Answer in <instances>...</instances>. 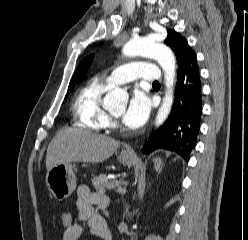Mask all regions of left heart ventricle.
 <instances>
[{
    "label": "left heart ventricle",
    "instance_id": "b2bd125f",
    "mask_svg": "<svg viewBox=\"0 0 248 240\" xmlns=\"http://www.w3.org/2000/svg\"><path fill=\"white\" fill-rule=\"evenodd\" d=\"M123 112H124V109H121V110H119V111H115L113 114H114L115 116H121V115L123 114Z\"/></svg>",
    "mask_w": 248,
    "mask_h": 240
}]
</instances>
